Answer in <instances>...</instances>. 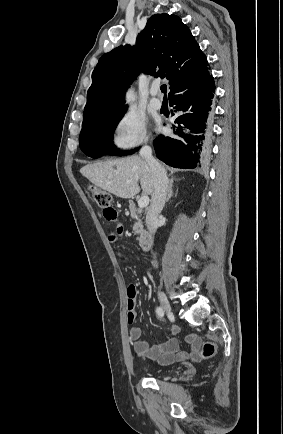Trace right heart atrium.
I'll list each match as a JSON object with an SVG mask.
<instances>
[{
	"label": "right heart atrium",
	"instance_id": "obj_1",
	"mask_svg": "<svg viewBox=\"0 0 283 434\" xmlns=\"http://www.w3.org/2000/svg\"><path fill=\"white\" fill-rule=\"evenodd\" d=\"M149 138L147 121L133 109L122 112L114 125V143L117 148L129 151L147 142Z\"/></svg>",
	"mask_w": 283,
	"mask_h": 434
}]
</instances>
